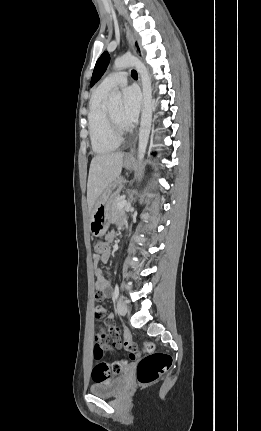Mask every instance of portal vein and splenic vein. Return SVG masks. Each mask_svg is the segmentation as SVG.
<instances>
[{
	"label": "portal vein and splenic vein",
	"mask_w": 261,
	"mask_h": 431,
	"mask_svg": "<svg viewBox=\"0 0 261 431\" xmlns=\"http://www.w3.org/2000/svg\"><path fill=\"white\" fill-rule=\"evenodd\" d=\"M125 204H126V200L123 199L118 203V207L123 208L125 206Z\"/></svg>",
	"instance_id": "1"
}]
</instances>
